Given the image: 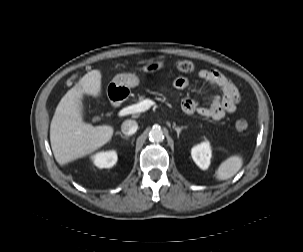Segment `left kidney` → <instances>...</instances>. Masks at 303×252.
Returning a JSON list of instances; mask_svg holds the SVG:
<instances>
[{"mask_svg": "<svg viewBox=\"0 0 303 252\" xmlns=\"http://www.w3.org/2000/svg\"><path fill=\"white\" fill-rule=\"evenodd\" d=\"M212 151L209 141L202 142L191 149V156L196 165L205 170L210 165Z\"/></svg>", "mask_w": 303, "mask_h": 252, "instance_id": "left-kidney-1", "label": "left kidney"}]
</instances>
